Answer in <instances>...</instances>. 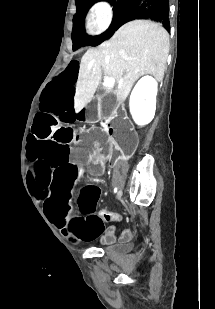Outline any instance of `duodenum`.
<instances>
[{"label":"duodenum","instance_id":"410a0bca","mask_svg":"<svg viewBox=\"0 0 215 309\" xmlns=\"http://www.w3.org/2000/svg\"><path fill=\"white\" fill-rule=\"evenodd\" d=\"M106 127H107L108 134L112 135L113 134V129H112L111 124H106Z\"/></svg>","mask_w":215,"mask_h":309}]
</instances>
